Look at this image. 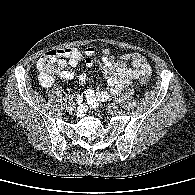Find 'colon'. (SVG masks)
I'll return each instance as SVG.
<instances>
[{
	"label": "colon",
	"instance_id": "5ec220e1",
	"mask_svg": "<svg viewBox=\"0 0 195 195\" xmlns=\"http://www.w3.org/2000/svg\"><path fill=\"white\" fill-rule=\"evenodd\" d=\"M65 66V57L58 51H50L41 56L37 63L41 83L45 86L50 85L56 76L65 71ZM139 82L142 85H147L148 79L143 76L140 78Z\"/></svg>",
	"mask_w": 195,
	"mask_h": 195
}]
</instances>
